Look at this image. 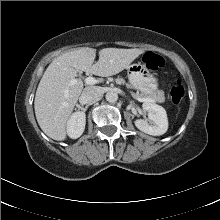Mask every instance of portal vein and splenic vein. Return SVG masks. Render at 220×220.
<instances>
[{
	"instance_id": "18ae733b",
	"label": "portal vein and splenic vein",
	"mask_w": 220,
	"mask_h": 220,
	"mask_svg": "<svg viewBox=\"0 0 220 220\" xmlns=\"http://www.w3.org/2000/svg\"><path fill=\"white\" fill-rule=\"evenodd\" d=\"M98 82H99V81H98L97 79H95L94 77H91V76H89V77H87V78L85 79V83L88 84V85H93V84H96V83H98ZM70 84H71V85L75 84V81L72 80ZM133 97H134L136 100H138V101L154 102V100L151 99V98H140V97L135 96V95H133Z\"/></svg>"
}]
</instances>
